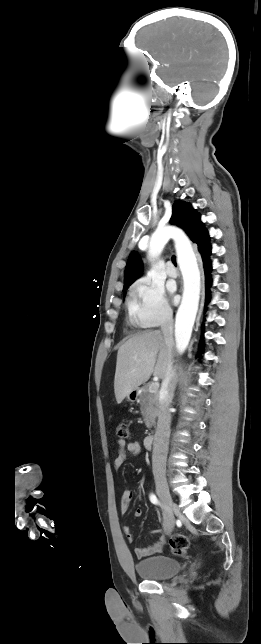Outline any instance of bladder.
I'll return each mask as SVG.
<instances>
[{"mask_svg": "<svg viewBox=\"0 0 261 644\" xmlns=\"http://www.w3.org/2000/svg\"><path fill=\"white\" fill-rule=\"evenodd\" d=\"M134 568L143 579L165 580L177 575L182 570V565L174 558L156 555L136 562Z\"/></svg>", "mask_w": 261, "mask_h": 644, "instance_id": "31cf9c89", "label": "bladder"}]
</instances>
